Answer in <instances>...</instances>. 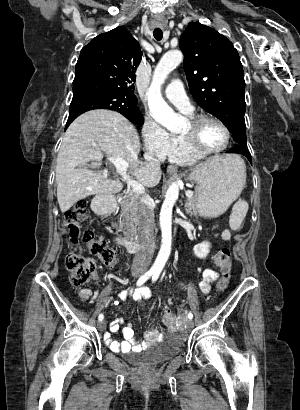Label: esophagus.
I'll return each instance as SVG.
<instances>
[{"mask_svg": "<svg viewBox=\"0 0 300 410\" xmlns=\"http://www.w3.org/2000/svg\"><path fill=\"white\" fill-rule=\"evenodd\" d=\"M167 172L170 173V174H175V173H177V167L170 165V166L167 167Z\"/></svg>", "mask_w": 300, "mask_h": 410, "instance_id": "1", "label": "esophagus"}]
</instances>
